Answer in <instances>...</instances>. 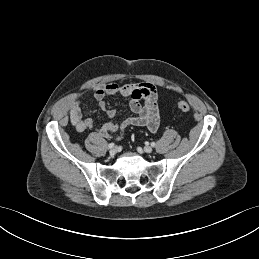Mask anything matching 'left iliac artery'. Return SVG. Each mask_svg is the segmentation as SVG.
<instances>
[{"label": "left iliac artery", "mask_w": 259, "mask_h": 259, "mask_svg": "<svg viewBox=\"0 0 259 259\" xmlns=\"http://www.w3.org/2000/svg\"><path fill=\"white\" fill-rule=\"evenodd\" d=\"M151 146H152V147H155V146H156V143H155V142H152V143H151Z\"/></svg>", "instance_id": "obj_1"}]
</instances>
